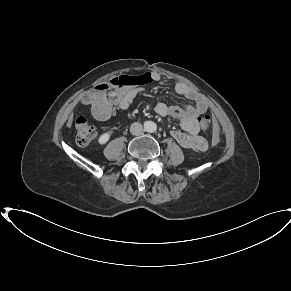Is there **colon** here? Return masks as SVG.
<instances>
[{
	"label": "colon",
	"instance_id": "1",
	"mask_svg": "<svg viewBox=\"0 0 291 291\" xmlns=\"http://www.w3.org/2000/svg\"><path fill=\"white\" fill-rule=\"evenodd\" d=\"M139 81V78L128 75H121L110 80L99 83L93 93L97 98H101L106 94V91L112 88H126L134 85ZM199 124L203 131L211 132L214 122L210 115L206 114L199 117ZM76 141L80 145L89 144L96 137V130L91 125L85 116H78L75 121ZM217 138L214 137L213 143L216 144Z\"/></svg>",
	"mask_w": 291,
	"mask_h": 291
}]
</instances>
